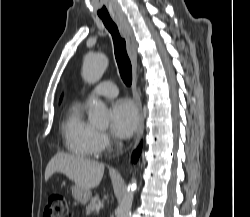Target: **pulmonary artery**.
Listing matches in <instances>:
<instances>
[{"label": "pulmonary artery", "mask_w": 250, "mask_h": 217, "mask_svg": "<svg viewBox=\"0 0 250 217\" xmlns=\"http://www.w3.org/2000/svg\"><path fill=\"white\" fill-rule=\"evenodd\" d=\"M96 96H102L107 98H113L118 95V88L112 82H102L100 83L92 92Z\"/></svg>", "instance_id": "obj_1"}]
</instances>
